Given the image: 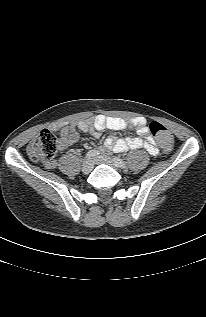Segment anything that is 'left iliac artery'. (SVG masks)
<instances>
[{
    "instance_id": "obj_1",
    "label": "left iliac artery",
    "mask_w": 206,
    "mask_h": 317,
    "mask_svg": "<svg viewBox=\"0 0 206 317\" xmlns=\"http://www.w3.org/2000/svg\"><path fill=\"white\" fill-rule=\"evenodd\" d=\"M113 160H114V162L116 163V165L118 166V167H120V168H125L126 167V163L122 160V159H120L119 157H114L113 158Z\"/></svg>"
}]
</instances>
